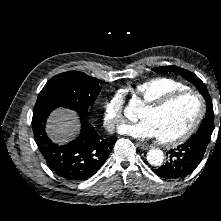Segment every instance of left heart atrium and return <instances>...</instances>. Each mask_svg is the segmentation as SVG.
<instances>
[{"mask_svg": "<svg viewBox=\"0 0 221 221\" xmlns=\"http://www.w3.org/2000/svg\"><path fill=\"white\" fill-rule=\"evenodd\" d=\"M119 132L140 140L157 138L155 128L148 120H141L133 124H124L119 128Z\"/></svg>", "mask_w": 221, "mask_h": 221, "instance_id": "left-heart-atrium-1", "label": "left heart atrium"}]
</instances>
